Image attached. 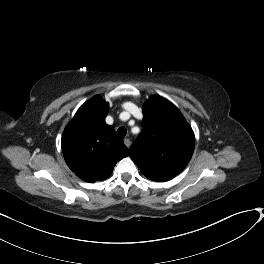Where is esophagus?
Instances as JSON below:
<instances>
[{
	"label": "esophagus",
	"mask_w": 264,
	"mask_h": 264,
	"mask_svg": "<svg viewBox=\"0 0 264 264\" xmlns=\"http://www.w3.org/2000/svg\"><path fill=\"white\" fill-rule=\"evenodd\" d=\"M124 144L129 148L131 146V141L129 139H124Z\"/></svg>",
	"instance_id": "1"
}]
</instances>
